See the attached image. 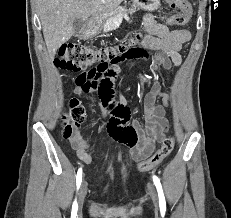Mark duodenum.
<instances>
[{"mask_svg": "<svg viewBox=\"0 0 231 218\" xmlns=\"http://www.w3.org/2000/svg\"><path fill=\"white\" fill-rule=\"evenodd\" d=\"M94 29H95V22L89 21V22L86 24L83 33H84V35L91 34V33L93 32Z\"/></svg>", "mask_w": 231, "mask_h": 218, "instance_id": "1", "label": "duodenum"}]
</instances>
